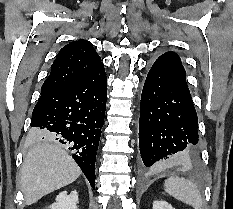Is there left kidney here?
Returning a JSON list of instances; mask_svg holds the SVG:
<instances>
[{
	"label": "left kidney",
	"instance_id": "5707ae66",
	"mask_svg": "<svg viewBox=\"0 0 233 209\" xmlns=\"http://www.w3.org/2000/svg\"><path fill=\"white\" fill-rule=\"evenodd\" d=\"M152 209H174L168 202L156 200L153 202Z\"/></svg>",
	"mask_w": 233,
	"mask_h": 209
}]
</instances>
